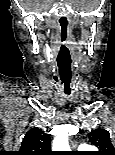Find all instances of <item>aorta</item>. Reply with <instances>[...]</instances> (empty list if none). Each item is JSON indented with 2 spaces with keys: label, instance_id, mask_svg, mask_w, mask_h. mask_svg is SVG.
I'll list each match as a JSON object with an SVG mask.
<instances>
[{
  "label": "aorta",
  "instance_id": "obj_1",
  "mask_svg": "<svg viewBox=\"0 0 115 155\" xmlns=\"http://www.w3.org/2000/svg\"><path fill=\"white\" fill-rule=\"evenodd\" d=\"M68 127H62L63 132L58 134L52 144V149L54 151H68L69 143H68V135L66 134V130Z\"/></svg>",
  "mask_w": 115,
  "mask_h": 155
}]
</instances>
